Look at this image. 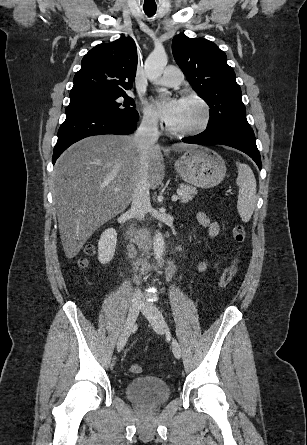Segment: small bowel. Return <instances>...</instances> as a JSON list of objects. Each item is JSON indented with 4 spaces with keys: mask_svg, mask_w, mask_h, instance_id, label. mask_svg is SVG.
<instances>
[{
    "mask_svg": "<svg viewBox=\"0 0 307 445\" xmlns=\"http://www.w3.org/2000/svg\"><path fill=\"white\" fill-rule=\"evenodd\" d=\"M198 222L208 229L210 237H215L218 234L219 226L216 222H212L204 213H199L197 216ZM206 268L205 262H200L197 264V269L203 271Z\"/></svg>",
    "mask_w": 307,
    "mask_h": 445,
    "instance_id": "c3829d8e",
    "label": "small bowel"
}]
</instances>
